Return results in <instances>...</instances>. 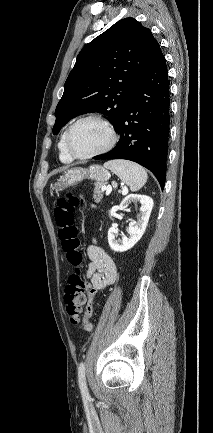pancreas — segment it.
Wrapping results in <instances>:
<instances>
[{
  "instance_id": "1",
  "label": "pancreas",
  "mask_w": 213,
  "mask_h": 433,
  "mask_svg": "<svg viewBox=\"0 0 213 433\" xmlns=\"http://www.w3.org/2000/svg\"><path fill=\"white\" fill-rule=\"evenodd\" d=\"M101 188H102L101 184L99 183L95 184L94 199L96 203H99L103 198V190Z\"/></svg>"
}]
</instances>
